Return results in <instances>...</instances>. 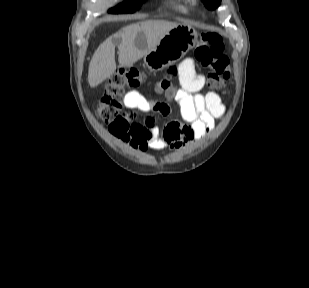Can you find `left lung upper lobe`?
<instances>
[{"label": "left lung upper lobe", "instance_id": "left-lung-upper-lobe-1", "mask_svg": "<svg viewBox=\"0 0 309 288\" xmlns=\"http://www.w3.org/2000/svg\"><path fill=\"white\" fill-rule=\"evenodd\" d=\"M208 9H215L220 5L221 0H202Z\"/></svg>", "mask_w": 309, "mask_h": 288}]
</instances>
